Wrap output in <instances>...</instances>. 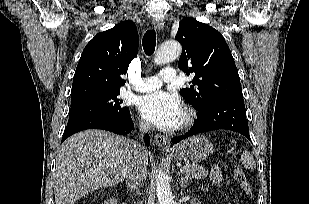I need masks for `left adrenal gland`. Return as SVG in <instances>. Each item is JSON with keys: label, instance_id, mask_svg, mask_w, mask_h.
Wrapping results in <instances>:
<instances>
[{"label": "left adrenal gland", "instance_id": "obj_1", "mask_svg": "<svg viewBox=\"0 0 309 204\" xmlns=\"http://www.w3.org/2000/svg\"><path fill=\"white\" fill-rule=\"evenodd\" d=\"M179 185L185 187L188 181V177H184L181 172L178 173Z\"/></svg>", "mask_w": 309, "mask_h": 204}]
</instances>
